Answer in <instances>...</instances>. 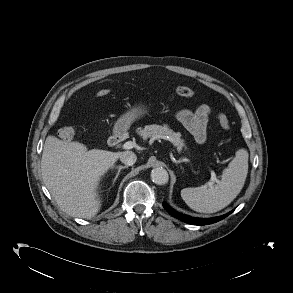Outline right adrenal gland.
Instances as JSON below:
<instances>
[{
	"instance_id": "1",
	"label": "right adrenal gland",
	"mask_w": 293,
	"mask_h": 293,
	"mask_svg": "<svg viewBox=\"0 0 293 293\" xmlns=\"http://www.w3.org/2000/svg\"><path fill=\"white\" fill-rule=\"evenodd\" d=\"M126 168H128V166H117V167H116V169H117V173H116L115 178L113 179V184L116 182V180H117V178H118V176H119V174H120V171H121L122 169H126Z\"/></svg>"
}]
</instances>
